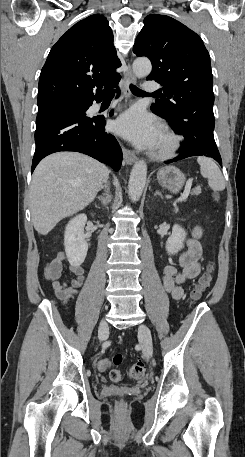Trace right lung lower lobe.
<instances>
[{
	"instance_id": "right-lung-lower-lobe-1",
	"label": "right lung lower lobe",
	"mask_w": 245,
	"mask_h": 457,
	"mask_svg": "<svg viewBox=\"0 0 245 457\" xmlns=\"http://www.w3.org/2000/svg\"><path fill=\"white\" fill-rule=\"evenodd\" d=\"M118 82L112 87H116ZM107 91L93 99L83 100L79 105L38 112L32 172L41 159L59 151L81 152L109 164L115 171L120 169L122 151L115 137L105 132V117L86 115L93 101L102 99ZM117 91L119 94L120 91ZM112 114L111 111L109 115Z\"/></svg>"
}]
</instances>
